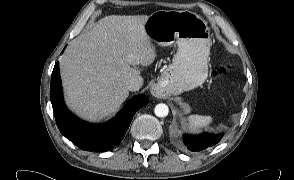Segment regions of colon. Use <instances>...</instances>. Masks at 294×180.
I'll return each mask as SVG.
<instances>
[{"label": "colon", "instance_id": "obj_1", "mask_svg": "<svg viewBox=\"0 0 294 180\" xmlns=\"http://www.w3.org/2000/svg\"><path fill=\"white\" fill-rule=\"evenodd\" d=\"M230 69V66H226V65H222L217 67L214 72L213 75L214 77H221L223 75H225Z\"/></svg>", "mask_w": 294, "mask_h": 180}]
</instances>
